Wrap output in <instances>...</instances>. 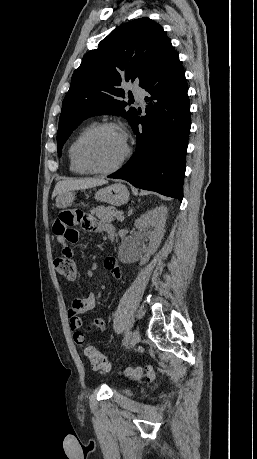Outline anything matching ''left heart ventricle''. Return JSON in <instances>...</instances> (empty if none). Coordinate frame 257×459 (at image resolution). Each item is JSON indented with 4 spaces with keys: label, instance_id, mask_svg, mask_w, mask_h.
Masks as SVG:
<instances>
[{
    "label": "left heart ventricle",
    "instance_id": "1",
    "mask_svg": "<svg viewBox=\"0 0 257 459\" xmlns=\"http://www.w3.org/2000/svg\"><path fill=\"white\" fill-rule=\"evenodd\" d=\"M123 134L114 129H104L94 134L83 147V156L90 164L107 168L114 165L125 151Z\"/></svg>",
    "mask_w": 257,
    "mask_h": 459
}]
</instances>
